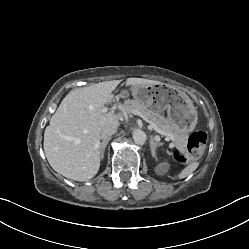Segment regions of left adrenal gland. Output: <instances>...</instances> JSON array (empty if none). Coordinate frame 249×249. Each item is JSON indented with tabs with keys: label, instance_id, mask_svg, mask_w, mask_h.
Listing matches in <instances>:
<instances>
[{
	"label": "left adrenal gland",
	"instance_id": "obj_1",
	"mask_svg": "<svg viewBox=\"0 0 249 249\" xmlns=\"http://www.w3.org/2000/svg\"><path fill=\"white\" fill-rule=\"evenodd\" d=\"M150 145H151V153L152 156L155 157L156 156V148L161 146L162 143H157L154 138L151 136L150 137Z\"/></svg>",
	"mask_w": 249,
	"mask_h": 249
}]
</instances>
